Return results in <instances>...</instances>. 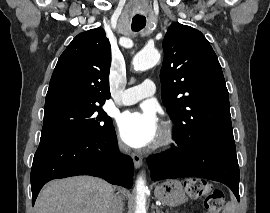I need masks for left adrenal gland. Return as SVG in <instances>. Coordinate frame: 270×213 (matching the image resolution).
I'll list each match as a JSON object with an SVG mask.
<instances>
[{"instance_id":"left-adrenal-gland-1","label":"left adrenal gland","mask_w":270,"mask_h":213,"mask_svg":"<svg viewBox=\"0 0 270 213\" xmlns=\"http://www.w3.org/2000/svg\"><path fill=\"white\" fill-rule=\"evenodd\" d=\"M156 212H157V213H160V210H159V208H158V207H156Z\"/></svg>"}]
</instances>
